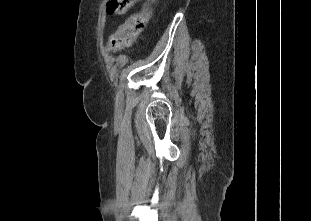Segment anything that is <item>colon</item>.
<instances>
[{"label": "colon", "instance_id": "colon-1", "mask_svg": "<svg viewBox=\"0 0 311 221\" xmlns=\"http://www.w3.org/2000/svg\"><path fill=\"white\" fill-rule=\"evenodd\" d=\"M158 0H147L140 11L132 14L128 20L121 24L106 43L109 51H118L130 46L146 28L152 17ZM136 0L110 1L108 6L109 21L111 17H126L128 4H135Z\"/></svg>", "mask_w": 311, "mask_h": 221}]
</instances>
